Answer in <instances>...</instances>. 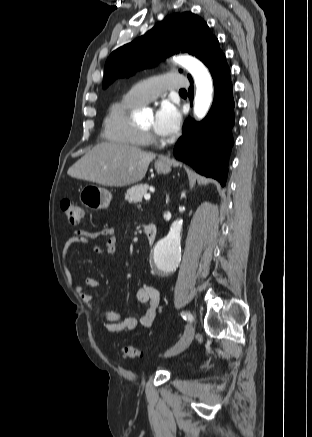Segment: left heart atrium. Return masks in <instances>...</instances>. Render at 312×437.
<instances>
[{
	"instance_id": "obj_1",
	"label": "left heart atrium",
	"mask_w": 312,
	"mask_h": 437,
	"mask_svg": "<svg viewBox=\"0 0 312 437\" xmlns=\"http://www.w3.org/2000/svg\"><path fill=\"white\" fill-rule=\"evenodd\" d=\"M180 122L178 109L170 102H163L155 113L153 128L160 136L170 137L178 131Z\"/></svg>"
}]
</instances>
